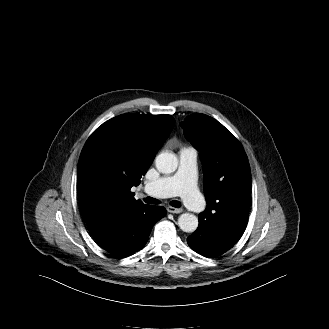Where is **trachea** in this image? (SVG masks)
I'll list each match as a JSON object with an SVG mask.
<instances>
[{
	"label": "trachea",
	"mask_w": 329,
	"mask_h": 329,
	"mask_svg": "<svg viewBox=\"0 0 329 329\" xmlns=\"http://www.w3.org/2000/svg\"><path fill=\"white\" fill-rule=\"evenodd\" d=\"M144 201L146 203H149V204H159L160 203L159 200H157L155 198H152V197H146L144 199ZM170 205L173 206V207H175V208H180L181 207V203L179 201H176V200L171 201L170 202Z\"/></svg>",
	"instance_id": "3493384b"
}]
</instances>
